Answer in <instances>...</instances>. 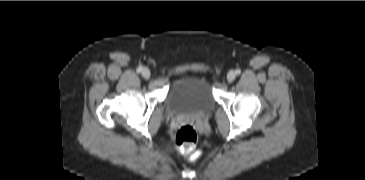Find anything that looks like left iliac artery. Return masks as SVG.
<instances>
[{
	"label": "left iliac artery",
	"mask_w": 365,
	"mask_h": 180,
	"mask_svg": "<svg viewBox=\"0 0 365 180\" xmlns=\"http://www.w3.org/2000/svg\"><path fill=\"white\" fill-rule=\"evenodd\" d=\"M241 73V70L240 69H237L236 70V74H240Z\"/></svg>",
	"instance_id": "obj_1"
}]
</instances>
